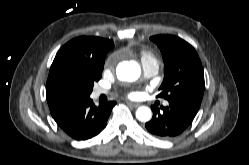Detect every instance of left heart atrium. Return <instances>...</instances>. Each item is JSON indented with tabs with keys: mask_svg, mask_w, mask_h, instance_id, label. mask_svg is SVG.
Segmentation results:
<instances>
[{
	"mask_svg": "<svg viewBox=\"0 0 249 165\" xmlns=\"http://www.w3.org/2000/svg\"><path fill=\"white\" fill-rule=\"evenodd\" d=\"M138 96V92H131L130 94H129V97H131V98H135V97H137Z\"/></svg>",
	"mask_w": 249,
	"mask_h": 165,
	"instance_id": "1",
	"label": "left heart atrium"
}]
</instances>
